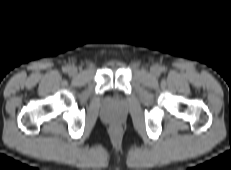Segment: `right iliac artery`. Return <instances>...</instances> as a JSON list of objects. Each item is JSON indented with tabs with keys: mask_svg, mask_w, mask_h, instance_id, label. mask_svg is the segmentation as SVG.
Listing matches in <instances>:
<instances>
[{
	"mask_svg": "<svg viewBox=\"0 0 231 170\" xmlns=\"http://www.w3.org/2000/svg\"><path fill=\"white\" fill-rule=\"evenodd\" d=\"M62 70H63V72H67V71H68V67H67V66H64V67L62 68Z\"/></svg>",
	"mask_w": 231,
	"mask_h": 170,
	"instance_id": "right-iliac-artery-1",
	"label": "right iliac artery"
}]
</instances>
